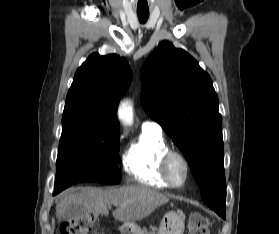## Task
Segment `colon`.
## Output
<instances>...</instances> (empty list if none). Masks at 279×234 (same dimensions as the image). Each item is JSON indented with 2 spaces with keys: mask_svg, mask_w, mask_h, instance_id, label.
<instances>
[{
  "mask_svg": "<svg viewBox=\"0 0 279 234\" xmlns=\"http://www.w3.org/2000/svg\"><path fill=\"white\" fill-rule=\"evenodd\" d=\"M97 221V215L89 212L82 217L64 223L61 234H88ZM208 219L198 213L192 212L188 219V234H209Z\"/></svg>",
  "mask_w": 279,
  "mask_h": 234,
  "instance_id": "5ec220e1",
  "label": "colon"
}]
</instances>
